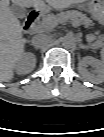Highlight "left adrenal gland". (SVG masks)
I'll return each mask as SVG.
<instances>
[{
    "mask_svg": "<svg viewBox=\"0 0 104 137\" xmlns=\"http://www.w3.org/2000/svg\"><path fill=\"white\" fill-rule=\"evenodd\" d=\"M80 48H81V49H87L88 47H87V46H84V45H80Z\"/></svg>",
    "mask_w": 104,
    "mask_h": 137,
    "instance_id": "obj_1",
    "label": "left adrenal gland"
}]
</instances>
